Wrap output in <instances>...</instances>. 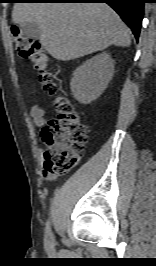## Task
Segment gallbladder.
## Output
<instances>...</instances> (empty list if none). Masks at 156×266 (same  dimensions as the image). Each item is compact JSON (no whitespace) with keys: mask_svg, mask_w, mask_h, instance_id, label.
Listing matches in <instances>:
<instances>
[{"mask_svg":"<svg viewBox=\"0 0 156 266\" xmlns=\"http://www.w3.org/2000/svg\"><path fill=\"white\" fill-rule=\"evenodd\" d=\"M21 31L24 36L32 39H38L40 36L39 26L35 23H25L21 26Z\"/></svg>","mask_w":156,"mask_h":266,"instance_id":"bac80fb5","label":"gallbladder"}]
</instances>
